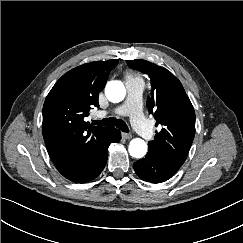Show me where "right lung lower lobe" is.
Listing matches in <instances>:
<instances>
[{
	"instance_id": "obj_1",
	"label": "right lung lower lobe",
	"mask_w": 243,
	"mask_h": 243,
	"mask_svg": "<svg viewBox=\"0 0 243 243\" xmlns=\"http://www.w3.org/2000/svg\"><path fill=\"white\" fill-rule=\"evenodd\" d=\"M121 133L115 128H111L103 140V143L89 157L81 162L68 161L54 163L58 171L67 179L85 183L96 178L104 169L107 157L108 147L111 143L119 142Z\"/></svg>"
}]
</instances>
